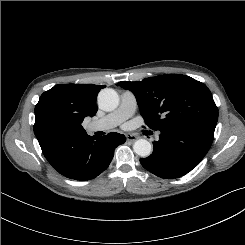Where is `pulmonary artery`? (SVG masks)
<instances>
[{"mask_svg": "<svg viewBox=\"0 0 245 245\" xmlns=\"http://www.w3.org/2000/svg\"><path fill=\"white\" fill-rule=\"evenodd\" d=\"M136 107L137 102L135 96L131 92L125 91L121 95L119 107L106 116L92 121L88 128L90 131H105L112 129L131 117L134 114Z\"/></svg>", "mask_w": 245, "mask_h": 245, "instance_id": "obj_1", "label": "pulmonary artery"}]
</instances>
